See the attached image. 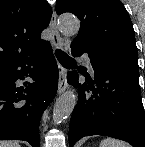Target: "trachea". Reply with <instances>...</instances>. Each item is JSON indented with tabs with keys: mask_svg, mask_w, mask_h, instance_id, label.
Returning <instances> with one entry per match:
<instances>
[{
	"mask_svg": "<svg viewBox=\"0 0 145 147\" xmlns=\"http://www.w3.org/2000/svg\"><path fill=\"white\" fill-rule=\"evenodd\" d=\"M55 55H56L57 59L59 60V62L63 66H68V65L75 64V61L70 56H68L66 53L61 51L60 49H57L55 51Z\"/></svg>",
	"mask_w": 145,
	"mask_h": 147,
	"instance_id": "3493384b",
	"label": "trachea"
}]
</instances>
